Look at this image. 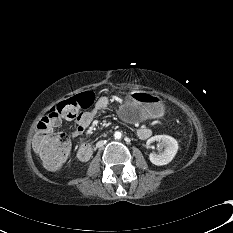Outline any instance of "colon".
I'll return each mask as SVG.
<instances>
[{"mask_svg":"<svg viewBox=\"0 0 233 233\" xmlns=\"http://www.w3.org/2000/svg\"><path fill=\"white\" fill-rule=\"evenodd\" d=\"M95 101L92 91H84L68 98L56 108L62 116H75L88 109ZM33 146L43 165L51 170L60 168L70 157L71 143L62 133H52L44 120L38 123Z\"/></svg>","mask_w":233,"mask_h":233,"instance_id":"1","label":"colon"}]
</instances>
